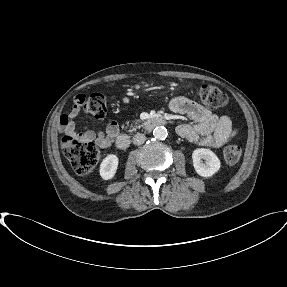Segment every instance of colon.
I'll use <instances>...</instances> for the list:
<instances>
[{
	"label": "colon",
	"instance_id": "obj_1",
	"mask_svg": "<svg viewBox=\"0 0 287 287\" xmlns=\"http://www.w3.org/2000/svg\"><path fill=\"white\" fill-rule=\"evenodd\" d=\"M199 98L205 106L215 110L225 109L228 102L223 91L209 84L201 86ZM76 101L80 108L94 118L100 119L106 113L107 102L102 93H92L87 97L78 96ZM61 143L77 174L87 175L94 170L100 158V150L93 142L77 133H65ZM241 154V147L237 144H230L224 149V159L230 165L236 164Z\"/></svg>",
	"mask_w": 287,
	"mask_h": 287
}]
</instances>
